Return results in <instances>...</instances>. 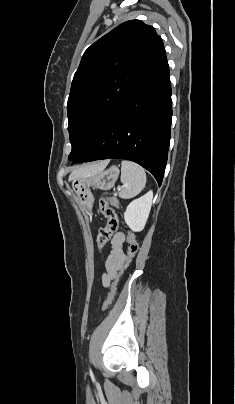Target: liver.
I'll return each mask as SVG.
<instances>
[{
  "label": "liver",
  "instance_id": "1",
  "mask_svg": "<svg viewBox=\"0 0 235 404\" xmlns=\"http://www.w3.org/2000/svg\"><path fill=\"white\" fill-rule=\"evenodd\" d=\"M108 164V161H101L99 163H94V164H88V165H83L77 169H75L69 176V181H72L74 179L78 178H86L91 175H94L100 171H102L106 165Z\"/></svg>",
  "mask_w": 235,
  "mask_h": 404
}]
</instances>
